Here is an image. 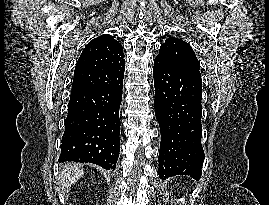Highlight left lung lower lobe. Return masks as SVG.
<instances>
[{"mask_svg": "<svg viewBox=\"0 0 269 205\" xmlns=\"http://www.w3.org/2000/svg\"><path fill=\"white\" fill-rule=\"evenodd\" d=\"M153 76L155 115L161 132L159 177L189 175L199 180L204 161L200 72L156 57Z\"/></svg>", "mask_w": 269, "mask_h": 205, "instance_id": "obj_1", "label": "left lung lower lobe"}]
</instances>
